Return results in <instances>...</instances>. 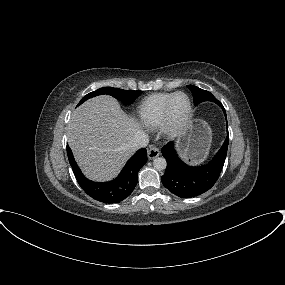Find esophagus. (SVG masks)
Instances as JSON below:
<instances>
[{
  "label": "esophagus",
  "mask_w": 285,
  "mask_h": 285,
  "mask_svg": "<svg viewBox=\"0 0 285 285\" xmlns=\"http://www.w3.org/2000/svg\"><path fill=\"white\" fill-rule=\"evenodd\" d=\"M159 154H160V150L157 146H151L147 152L148 159L150 160L158 157Z\"/></svg>",
  "instance_id": "1"
}]
</instances>
